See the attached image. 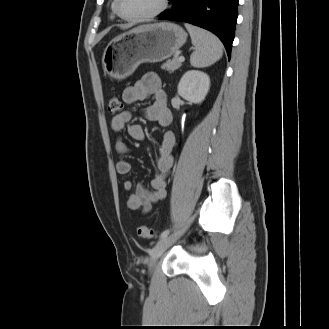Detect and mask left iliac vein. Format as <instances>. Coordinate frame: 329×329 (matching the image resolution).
<instances>
[{
    "label": "left iliac vein",
    "mask_w": 329,
    "mask_h": 329,
    "mask_svg": "<svg viewBox=\"0 0 329 329\" xmlns=\"http://www.w3.org/2000/svg\"><path fill=\"white\" fill-rule=\"evenodd\" d=\"M177 234H172L161 239L151 250L149 259V270L152 271L158 258L163 254V252L172 245L177 239Z\"/></svg>",
    "instance_id": "left-iliac-vein-1"
}]
</instances>
